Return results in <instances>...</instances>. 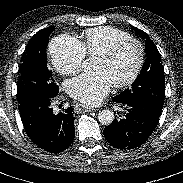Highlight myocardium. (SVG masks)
Instances as JSON below:
<instances>
[{
	"instance_id": "obj_1",
	"label": "myocardium",
	"mask_w": 183,
	"mask_h": 183,
	"mask_svg": "<svg viewBox=\"0 0 183 183\" xmlns=\"http://www.w3.org/2000/svg\"><path fill=\"white\" fill-rule=\"evenodd\" d=\"M130 43L135 44L138 47V50H139L138 62L135 66V69L133 70V72L131 73V75L128 78H126L122 81L113 83V86L115 88H124V87L130 86L132 83H134L136 81V79L140 75L142 68L144 66V62H145V48H144L143 44L139 40L130 37V38L122 39V40L115 42L110 47H108L106 50H104L101 53H99L98 55H96L97 58L110 59L122 47H124L125 45L130 44Z\"/></svg>"
}]
</instances>
